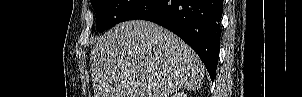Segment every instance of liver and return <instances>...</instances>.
<instances>
[{
  "label": "liver",
  "mask_w": 302,
  "mask_h": 97,
  "mask_svg": "<svg viewBox=\"0 0 302 97\" xmlns=\"http://www.w3.org/2000/svg\"><path fill=\"white\" fill-rule=\"evenodd\" d=\"M94 97H169L196 91L205 67L178 36L143 20L119 23L101 36L91 54Z\"/></svg>",
  "instance_id": "obj_1"
}]
</instances>
